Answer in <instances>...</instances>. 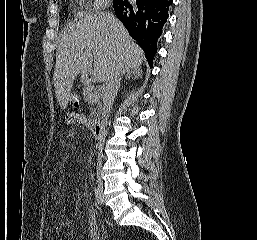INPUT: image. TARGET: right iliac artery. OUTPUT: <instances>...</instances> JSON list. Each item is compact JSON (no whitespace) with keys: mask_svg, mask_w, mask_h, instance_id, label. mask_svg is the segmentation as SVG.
Listing matches in <instances>:
<instances>
[{"mask_svg":"<svg viewBox=\"0 0 257 240\" xmlns=\"http://www.w3.org/2000/svg\"><path fill=\"white\" fill-rule=\"evenodd\" d=\"M95 199L98 204H102V193L98 187L95 188Z\"/></svg>","mask_w":257,"mask_h":240,"instance_id":"right-iliac-artery-1","label":"right iliac artery"}]
</instances>
